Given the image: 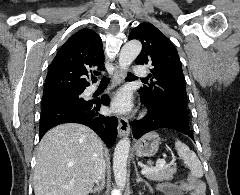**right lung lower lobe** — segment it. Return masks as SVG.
<instances>
[{
	"mask_svg": "<svg viewBox=\"0 0 240 195\" xmlns=\"http://www.w3.org/2000/svg\"><path fill=\"white\" fill-rule=\"evenodd\" d=\"M107 95L85 102H56L42 107L39 126L40 139L52 127L62 123H81L94 130L111 147L117 137L118 119L99 113L102 104L109 105Z\"/></svg>",
	"mask_w": 240,
	"mask_h": 195,
	"instance_id": "obj_1",
	"label": "right lung lower lobe"
}]
</instances>
